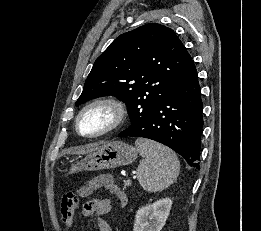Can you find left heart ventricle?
<instances>
[{
  "mask_svg": "<svg viewBox=\"0 0 261 231\" xmlns=\"http://www.w3.org/2000/svg\"><path fill=\"white\" fill-rule=\"evenodd\" d=\"M113 112L106 106H95L87 110L79 121V129L83 134H94L106 127L113 121Z\"/></svg>",
  "mask_w": 261,
  "mask_h": 231,
  "instance_id": "b2bd125f",
  "label": "left heart ventricle"
}]
</instances>
